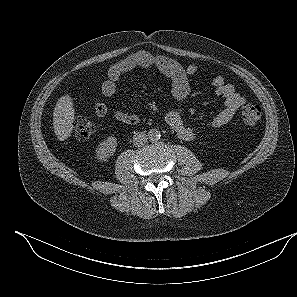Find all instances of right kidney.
<instances>
[{
	"instance_id": "1",
	"label": "right kidney",
	"mask_w": 297,
	"mask_h": 297,
	"mask_svg": "<svg viewBox=\"0 0 297 297\" xmlns=\"http://www.w3.org/2000/svg\"><path fill=\"white\" fill-rule=\"evenodd\" d=\"M117 147V138L115 136H109L103 142H101L96 149V158L99 161H106L108 158L114 155Z\"/></svg>"
}]
</instances>
